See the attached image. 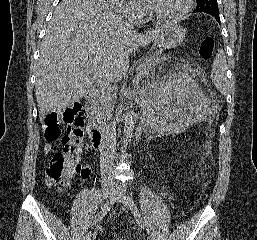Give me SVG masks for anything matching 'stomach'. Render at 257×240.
I'll use <instances>...</instances> for the list:
<instances>
[{"instance_id":"1","label":"stomach","mask_w":257,"mask_h":240,"mask_svg":"<svg viewBox=\"0 0 257 240\" xmlns=\"http://www.w3.org/2000/svg\"><path fill=\"white\" fill-rule=\"evenodd\" d=\"M186 30L178 24L167 23L155 37L154 44L161 49L177 47L185 39Z\"/></svg>"}]
</instances>
